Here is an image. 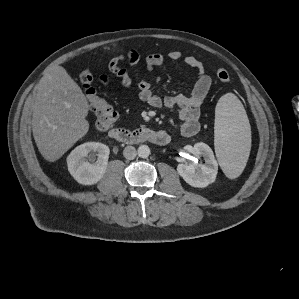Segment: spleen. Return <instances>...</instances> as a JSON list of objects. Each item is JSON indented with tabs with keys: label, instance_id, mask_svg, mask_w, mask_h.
<instances>
[{
	"label": "spleen",
	"instance_id": "1",
	"mask_svg": "<svg viewBox=\"0 0 299 299\" xmlns=\"http://www.w3.org/2000/svg\"><path fill=\"white\" fill-rule=\"evenodd\" d=\"M214 145L219 164L230 179L244 170L251 148V129L241 101L232 93L223 95L215 109Z\"/></svg>",
	"mask_w": 299,
	"mask_h": 299
}]
</instances>
